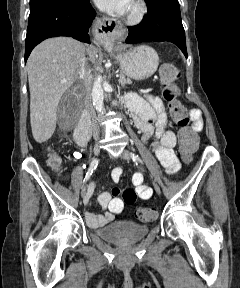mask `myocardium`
Instances as JSON below:
<instances>
[{
	"mask_svg": "<svg viewBox=\"0 0 240 288\" xmlns=\"http://www.w3.org/2000/svg\"><path fill=\"white\" fill-rule=\"evenodd\" d=\"M148 5L145 0H134L128 12L126 22L129 25H139L146 18Z\"/></svg>",
	"mask_w": 240,
	"mask_h": 288,
	"instance_id": "myocardium-1",
	"label": "myocardium"
}]
</instances>
